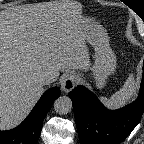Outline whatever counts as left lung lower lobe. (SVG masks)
<instances>
[{
    "mask_svg": "<svg viewBox=\"0 0 144 144\" xmlns=\"http://www.w3.org/2000/svg\"><path fill=\"white\" fill-rule=\"evenodd\" d=\"M69 96L81 144H119L136 127L144 111V65L138 98L124 108L106 109L93 93L81 85Z\"/></svg>",
    "mask_w": 144,
    "mask_h": 144,
    "instance_id": "obj_1",
    "label": "left lung lower lobe"
}]
</instances>
